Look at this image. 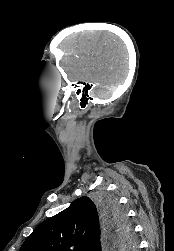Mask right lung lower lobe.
Wrapping results in <instances>:
<instances>
[{
  "label": "right lung lower lobe",
  "instance_id": "98d812e1",
  "mask_svg": "<svg viewBox=\"0 0 174 251\" xmlns=\"http://www.w3.org/2000/svg\"><path fill=\"white\" fill-rule=\"evenodd\" d=\"M103 228H104V237L102 239V244H103V249H104L105 245L109 241L110 235L112 233V229L105 223V221H104Z\"/></svg>",
  "mask_w": 174,
  "mask_h": 251
}]
</instances>
